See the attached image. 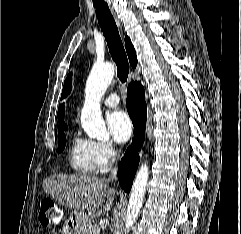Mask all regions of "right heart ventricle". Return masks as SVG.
Listing matches in <instances>:
<instances>
[{
  "instance_id": "e07e8e85",
  "label": "right heart ventricle",
  "mask_w": 241,
  "mask_h": 234,
  "mask_svg": "<svg viewBox=\"0 0 241 234\" xmlns=\"http://www.w3.org/2000/svg\"><path fill=\"white\" fill-rule=\"evenodd\" d=\"M71 168L80 174H91L98 170L94 142L78 135L72 137L69 153Z\"/></svg>"
}]
</instances>
